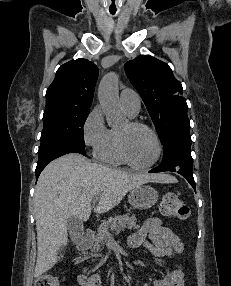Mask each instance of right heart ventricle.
<instances>
[{
  "mask_svg": "<svg viewBox=\"0 0 231 286\" xmlns=\"http://www.w3.org/2000/svg\"><path fill=\"white\" fill-rule=\"evenodd\" d=\"M129 117H134L133 115L127 113ZM95 157L101 163L119 166L123 165L125 162L122 160L117 147V130H109L108 137L104 144L96 151Z\"/></svg>",
  "mask_w": 231,
  "mask_h": 286,
  "instance_id": "right-heart-ventricle-1",
  "label": "right heart ventricle"
}]
</instances>
